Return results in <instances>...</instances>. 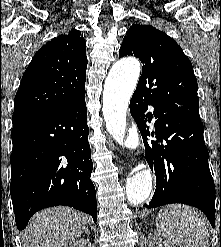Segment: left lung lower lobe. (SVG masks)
Listing matches in <instances>:
<instances>
[{"mask_svg": "<svg viewBox=\"0 0 221 247\" xmlns=\"http://www.w3.org/2000/svg\"><path fill=\"white\" fill-rule=\"evenodd\" d=\"M148 102L139 94H133L130 112L144 137L147 160L155 170L156 189L152 200L145 204L154 208L165 204L181 203L200 209L215 226V185L208 165V150L203 138V124L169 115L154 108L157 118L156 141L147 143L150 135L146 121L152 113H146ZM163 141L165 143L163 144Z\"/></svg>", "mask_w": 221, "mask_h": 247, "instance_id": "0a47b994", "label": "left lung lower lobe"}]
</instances>
